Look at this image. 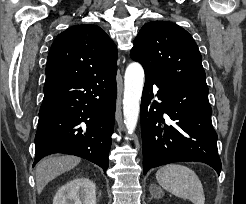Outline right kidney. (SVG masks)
<instances>
[{"mask_svg": "<svg viewBox=\"0 0 246 204\" xmlns=\"http://www.w3.org/2000/svg\"><path fill=\"white\" fill-rule=\"evenodd\" d=\"M53 204H96V187L88 178L76 177L61 186Z\"/></svg>", "mask_w": 246, "mask_h": 204, "instance_id": "obj_1", "label": "right kidney"}]
</instances>
